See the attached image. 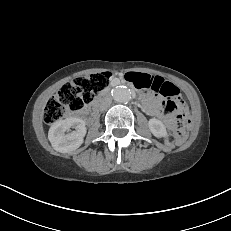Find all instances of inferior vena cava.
<instances>
[{
    "instance_id": "obj_1",
    "label": "inferior vena cava",
    "mask_w": 231,
    "mask_h": 231,
    "mask_svg": "<svg viewBox=\"0 0 231 231\" xmlns=\"http://www.w3.org/2000/svg\"><path fill=\"white\" fill-rule=\"evenodd\" d=\"M111 103H112L111 97L110 96L105 97L101 103L100 109L101 110L107 109L108 107H110Z\"/></svg>"
}]
</instances>
